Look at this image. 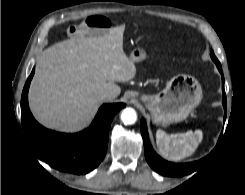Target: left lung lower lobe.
Returning a JSON list of instances; mask_svg holds the SVG:
<instances>
[{
	"label": "left lung lower lobe",
	"instance_id": "left-lung-lower-lobe-1",
	"mask_svg": "<svg viewBox=\"0 0 245 195\" xmlns=\"http://www.w3.org/2000/svg\"><path fill=\"white\" fill-rule=\"evenodd\" d=\"M216 65L222 75V91H223L222 103L224 109L226 110L227 102H226V94L224 90V77L221 69V64L217 63ZM141 134L144 141V151H145L146 160L150 165V167L161 175L172 176V177L184 176L194 172L197 169V165L201 162V161H196V162L185 163V164H175L162 159L159 155L155 153V151L153 150L150 144L146 122L144 119L141 120Z\"/></svg>",
	"mask_w": 245,
	"mask_h": 195
}]
</instances>
